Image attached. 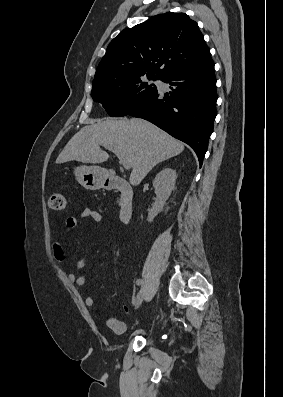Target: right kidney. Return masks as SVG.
Wrapping results in <instances>:
<instances>
[{"instance_id":"obj_1","label":"right kidney","mask_w":283,"mask_h":397,"mask_svg":"<svg viewBox=\"0 0 283 397\" xmlns=\"http://www.w3.org/2000/svg\"><path fill=\"white\" fill-rule=\"evenodd\" d=\"M176 179V171L169 167L163 168L156 175L155 179L153 180V187L155 188V194L157 198L152 209L148 213V222H152L153 219L163 209L166 201L171 195V192L175 189Z\"/></svg>"}]
</instances>
